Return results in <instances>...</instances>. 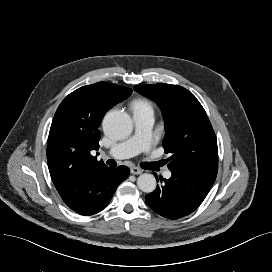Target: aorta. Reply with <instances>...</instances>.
I'll return each mask as SVG.
<instances>
[{"instance_id":"aorta-1","label":"aorta","mask_w":272,"mask_h":272,"mask_svg":"<svg viewBox=\"0 0 272 272\" xmlns=\"http://www.w3.org/2000/svg\"><path fill=\"white\" fill-rule=\"evenodd\" d=\"M133 129L130 116L123 111L113 110L108 112L103 119V130L106 135L114 139L128 137ZM138 188L151 193L156 189V178L152 174H141L137 179Z\"/></svg>"}]
</instances>
